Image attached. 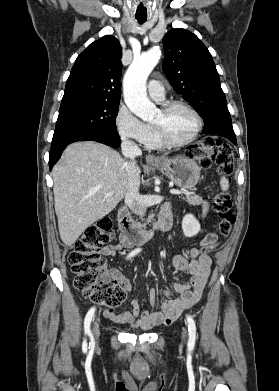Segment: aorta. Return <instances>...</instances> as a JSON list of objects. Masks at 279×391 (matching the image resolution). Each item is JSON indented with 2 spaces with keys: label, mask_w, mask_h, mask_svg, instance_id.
Wrapping results in <instances>:
<instances>
[{
  "label": "aorta",
  "mask_w": 279,
  "mask_h": 391,
  "mask_svg": "<svg viewBox=\"0 0 279 391\" xmlns=\"http://www.w3.org/2000/svg\"><path fill=\"white\" fill-rule=\"evenodd\" d=\"M161 51L158 46L135 57L123 80L124 100L132 113L148 120L156 113V106L147 98L146 80L159 62Z\"/></svg>",
  "instance_id": "762f6f07"
}]
</instances>
